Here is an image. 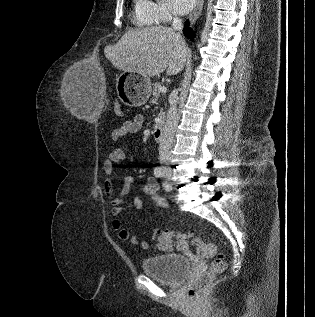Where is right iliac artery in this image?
<instances>
[{"mask_svg":"<svg viewBox=\"0 0 315 317\" xmlns=\"http://www.w3.org/2000/svg\"><path fill=\"white\" fill-rule=\"evenodd\" d=\"M154 175H155V177H161V175H162V168L161 167H156L155 169H154Z\"/></svg>","mask_w":315,"mask_h":317,"instance_id":"right-iliac-artery-1","label":"right iliac artery"}]
</instances>
